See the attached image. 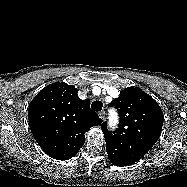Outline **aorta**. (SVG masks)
Listing matches in <instances>:
<instances>
[{
  "instance_id": "1",
  "label": "aorta",
  "mask_w": 187,
  "mask_h": 187,
  "mask_svg": "<svg viewBox=\"0 0 187 187\" xmlns=\"http://www.w3.org/2000/svg\"><path fill=\"white\" fill-rule=\"evenodd\" d=\"M111 123H112L113 126L116 125V123H117V118H116L115 115L113 116V118H111Z\"/></svg>"
}]
</instances>
